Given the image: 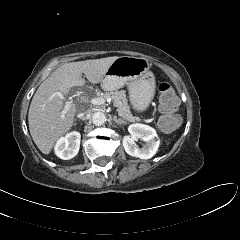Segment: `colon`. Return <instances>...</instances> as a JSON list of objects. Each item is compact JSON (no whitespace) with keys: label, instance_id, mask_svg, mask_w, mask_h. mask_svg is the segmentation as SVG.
I'll return each mask as SVG.
<instances>
[{"label":"colon","instance_id":"5ec220e1","mask_svg":"<svg viewBox=\"0 0 240 240\" xmlns=\"http://www.w3.org/2000/svg\"><path fill=\"white\" fill-rule=\"evenodd\" d=\"M159 126L169 132L177 128L181 122L177 113L179 100L171 85L165 81L160 82L159 87Z\"/></svg>","mask_w":240,"mask_h":240}]
</instances>
